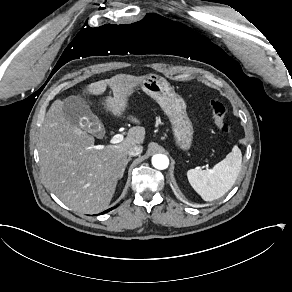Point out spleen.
Returning a JSON list of instances; mask_svg holds the SVG:
<instances>
[{
    "instance_id": "obj_1",
    "label": "spleen",
    "mask_w": 292,
    "mask_h": 292,
    "mask_svg": "<svg viewBox=\"0 0 292 292\" xmlns=\"http://www.w3.org/2000/svg\"><path fill=\"white\" fill-rule=\"evenodd\" d=\"M241 164V150L238 146H234L226 158L212 169L188 170V181L203 200L213 201L222 197L232 188L241 170Z\"/></svg>"
}]
</instances>
